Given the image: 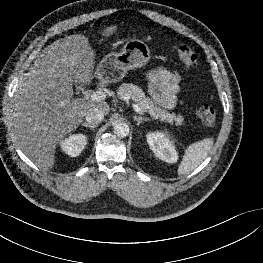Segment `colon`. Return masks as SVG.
Here are the masks:
<instances>
[{
	"label": "colon",
	"instance_id": "colon-1",
	"mask_svg": "<svg viewBox=\"0 0 263 263\" xmlns=\"http://www.w3.org/2000/svg\"><path fill=\"white\" fill-rule=\"evenodd\" d=\"M178 56L186 68L194 67L197 64V54L194 49L188 45L181 44L178 47ZM196 115L204 125L212 126L216 121L217 112L212 105L202 103L196 107Z\"/></svg>",
	"mask_w": 263,
	"mask_h": 263
}]
</instances>
